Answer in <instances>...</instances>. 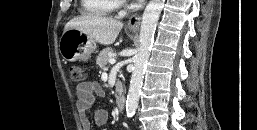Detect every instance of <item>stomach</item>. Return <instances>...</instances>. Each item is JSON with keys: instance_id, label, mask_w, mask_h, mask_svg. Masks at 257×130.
Returning <instances> with one entry per match:
<instances>
[{"instance_id": "1", "label": "stomach", "mask_w": 257, "mask_h": 130, "mask_svg": "<svg viewBox=\"0 0 257 130\" xmlns=\"http://www.w3.org/2000/svg\"><path fill=\"white\" fill-rule=\"evenodd\" d=\"M95 48V41L77 29L65 30L59 41L61 56L64 60L71 62L89 59Z\"/></svg>"}]
</instances>
